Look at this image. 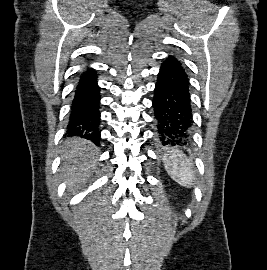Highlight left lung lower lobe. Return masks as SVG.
<instances>
[{"label": "left lung lower lobe", "instance_id": "left-lung-lower-lobe-1", "mask_svg": "<svg viewBox=\"0 0 267 270\" xmlns=\"http://www.w3.org/2000/svg\"><path fill=\"white\" fill-rule=\"evenodd\" d=\"M189 82L181 63L168 57L161 65L153 98L158 142L186 144L192 135V109Z\"/></svg>", "mask_w": 267, "mask_h": 270}]
</instances>
